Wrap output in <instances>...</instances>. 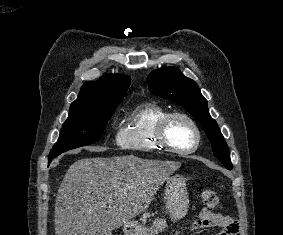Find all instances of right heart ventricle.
<instances>
[{"mask_svg":"<svg viewBox=\"0 0 283 235\" xmlns=\"http://www.w3.org/2000/svg\"><path fill=\"white\" fill-rule=\"evenodd\" d=\"M169 110L156 102L138 105L127 117L121 127L117 142L125 149L152 152L162 147L156 138V129L160 120Z\"/></svg>","mask_w":283,"mask_h":235,"instance_id":"obj_1","label":"right heart ventricle"}]
</instances>
